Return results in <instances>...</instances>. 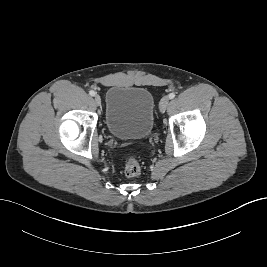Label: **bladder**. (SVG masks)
Masks as SVG:
<instances>
[{"label": "bladder", "mask_w": 267, "mask_h": 267, "mask_svg": "<svg viewBox=\"0 0 267 267\" xmlns=\"http://www.w3.org/2000/svg\"><path fill=\"white\" fill-rule=\"evenodd\" d=\"M155 100L143 87L112 86L106 93L104 123L119 139H143L154 126Z\"/></svg>", "instance_id": "bladder-1"}]
</instances>
